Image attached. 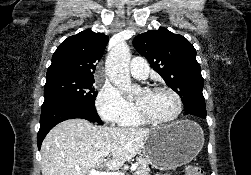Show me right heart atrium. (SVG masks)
Returning <instances> with one entry per match:
<instances>
[{
	"instance_id": "right-heart-atrium-1",
	"label": "right heart atrium",
	"mask_w": 251,
	"mask_h": 175,
	"mask_svg": "<svg viewBox=\"0 0 251 175\" xmlns=\"http://www.w3.org/2000/svg\"><path fill=\"white\" fill-rule=\"evenodd\" d=\"M95 106L100 117L112 124H123L137 114L135 107L110 83H105L100 88Z\"/></svg>"
}]
</instances>
